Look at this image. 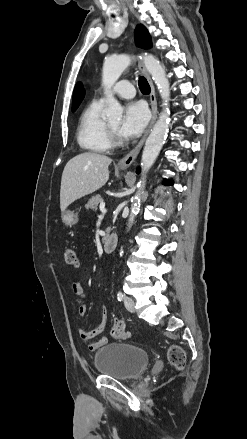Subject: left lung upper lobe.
<instances>
[{
	"instance_id": "5c2ea615",
	"label": "left lung upper lobe",
	"mask_w": 247,
	"mask_h": 439,
	"mask_svg": "<svg viewBox=\"0 0 247 439\" xmlns=\"http://www.w3.org/2000/svg\"><path fill=\"white\" fill-rule=\"evenodd\" d=\"M135 40H136L137 46H139L141 48H150L151 47L150 35H149L147 29L142 25L137 26V29L135 31Z\"/></svg>"
}]
</instances>
